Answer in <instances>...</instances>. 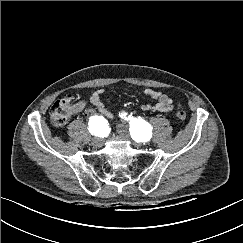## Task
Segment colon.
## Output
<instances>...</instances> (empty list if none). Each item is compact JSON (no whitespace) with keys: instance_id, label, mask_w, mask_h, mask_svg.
<instances>
[{"instance_id":"5ec220e1","label":"colon","mask_w":243,"mask_h":243,"mask_svg":"<svg viewBox=\"0 0 243 243\" xmlns=\"http://www.w3.org/2000/svg\"><path fill=\"white\" fill-rule=\"evenodd\" d=\"M74 104L73 97L68 95L57 100L50 109V118L52 123L57 127L64 126L71 113L73 112ZM176 117L179 121L183 122L186 119V112L178 108L176 110Z\"/></svg>"}]
</instances>
